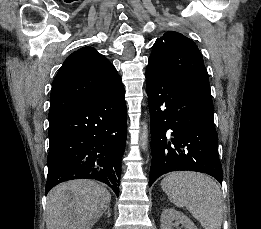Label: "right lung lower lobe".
Wrapping results in <instances>:
<instances>
[{
	"label": "right lung lower lobe",
	"mask_w": 261,
	"mask_h": 229,
	"mask_svg": "<svg viewBox=\"0 0 261 229\" xmlns=\"http://www.w3.org/2000/svg\"><path fill=\"white\" fill-rule=\"evenodd\" d=\"M126 122L124 87L118 79L50 124L45 192L64 181L93 179L107 184L119 196Z\"/></svg>",
	"instance_id": "98d812e1"
}]
</instances>
